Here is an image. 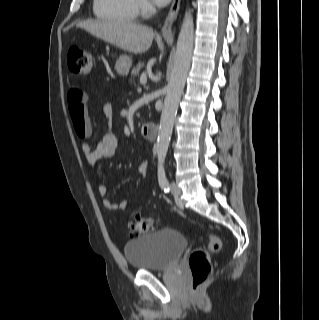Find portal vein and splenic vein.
Wrapping results in <instances>:
<instances>
[{
    "label": "portal vein and splenic vein",
    "instance_id": "obj_1",
    "mask_svg": "<svg viewBox=\"0 0 319 320\" xmlns=\"http://www.w3.org/2000/svg\"><path fill=\"white\" fill-rule=\"evenodd\" d=\"M147 82V74L146 72L142 73L141 77H140V83L141 84H146Z\"/></svg>",
    "mask_w": 319,
    "mask_h": 320
}]
</instances>
